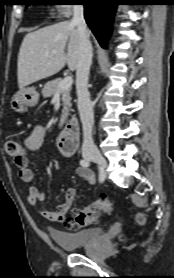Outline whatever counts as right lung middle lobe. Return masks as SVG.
Returning <instances> with one entry per match:
<instances>
[{
    "label": "right lung middle lobe",
    "mask_w": 174,
    "mask_h": 278,
    "mask_svg": "<svg viewBox=\"0 0 174 278\" xmlns=\"http://www.w3.org/2000/svg\"><path fill=\"white\" fill-rule=\"evenodd\" d=\"M29 1H31V2H33V1H35V0H29ZM32 3H27L26 5L28 6V5H31Z\"/></svg>",
    "instance_id": "right-lung-middle-lobe-1"
}]
</instances>
